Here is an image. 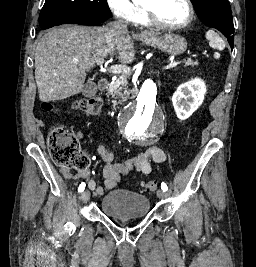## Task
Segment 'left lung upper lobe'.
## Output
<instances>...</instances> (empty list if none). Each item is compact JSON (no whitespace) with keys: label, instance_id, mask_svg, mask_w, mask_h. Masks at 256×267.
I'll return each mask as SVG.
<instances>
[{"label":"left lung upper lobe","instance_id":"5c2ea615","mask_svg":"<svg viewBox=\"0 0 256 267\" xmlns=\"http://www.w3.org/2000/svg\"><path fill=\"white\" fill-rule=\"evenodd\" d=\"M196 6L197 13L202 22L218 29L228 39L233 48L234 26L231 7L228 0H191Z\"/></svg>","mask_w":256,"mask_h":267}]
</instances>
